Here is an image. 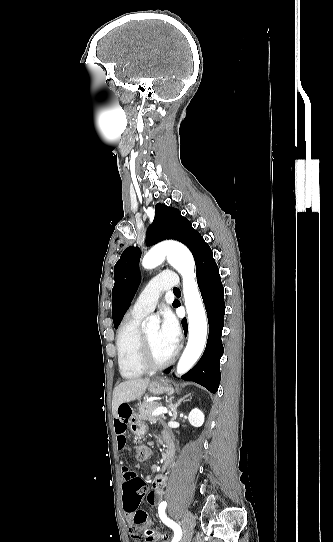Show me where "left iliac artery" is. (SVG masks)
<instances>
[{"mask_svg": "<svg viewBox=\"0 0 333 542\" xmlns=\"http://www.w3.org/2000/svg\"><path fill=\"white\" fill-rule=\"evenodd\" d=\"M167 506V503L164 501L162 502L160 505H159V508H158V512H159V517L161 518V520L167 525L169 526L170 528H172L174 530V537L172 539V542H178L182 536V531H181V528L178 524H176L174 521L170 520L169 518H167L166 514H165V508Z\"/></svg>", "mask_w": 333, "mask_h": 542, "instance_id": "1", "label": "left iliac artery"}]
</instances>
